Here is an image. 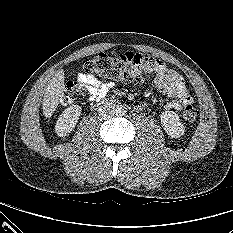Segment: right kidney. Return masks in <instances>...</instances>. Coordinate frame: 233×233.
Masks as SVG:
<instances>
[{"label":"right kidney","instance_id":"obj_1","mask_svg":"<svg viewBox=\"0 0 233 233\" xmlns=\"http://www.w3.org/2000/svg\"><path fill=\"white\" fill-rule=\"evenodd\" d=\"M82 108L72 105L66 108L57 120L55 131L60 137L68 135L75 127L81 114Z\"/></svg>","mask_w":233,"mask_h":233}]
</instances>
